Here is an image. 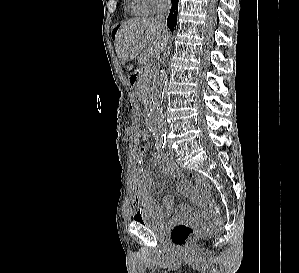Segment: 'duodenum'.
I'll return each instance as SVG.
<instances>
[{
    "mask_svg": "<svg viewBox=\"0 0 299 273\" xmlns=\"http://www.w3.org/2000/svg\"><path fill=\"white\" fill-rule=\"evenodd\" d=\"M141 74V70L140 69H135L130 76V82L132 85H135L139 76Z\"/></svg>",
    "mask_w": 299,
    "mask_h": 273,
    "instance_id": "obj_1",
    "label": "duodenum"
}]
</instances>
